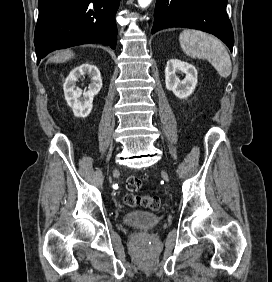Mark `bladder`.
Listing matches in <instances>:
<instances>
[{"label":"bladder","mask_w":272,"mask_h":282,"mask_svg":"<svg viewBox=\"0 0 272 282\" xmlns=\"http://www.w3.org/2000/svg\"><path fill=\"white\" fill-rule=\"evenodd\" d=\"M161 217L144 211H132L123 216V222L140 229H151L157 226Z\"/></svg>","instance_id":"1"}]
</instances>
